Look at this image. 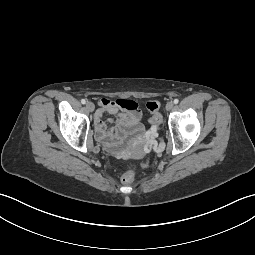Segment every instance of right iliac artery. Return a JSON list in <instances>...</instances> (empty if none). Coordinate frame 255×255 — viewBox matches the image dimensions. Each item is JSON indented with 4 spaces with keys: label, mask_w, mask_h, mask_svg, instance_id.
Returning a JSON list of instances; mask_svg holds the SVG:
<instances>
[{
    "label": "right iliac artery",
    "mask_w": 255,
    "mask_h": 255,
    "mask_svg": "<svg viewBox=\"0 0 255 255\" xmlns=\"http://www.w3.org/2000/svg\"><path fill=\"white\" fill-rule=\"evenodd\" d=\"M81 103H82V104H85V103H86V100H85V99H82V100H81Z\"/></svg>",
    "instance_id": "right-iliac-artery-1"
}]
</instances>
